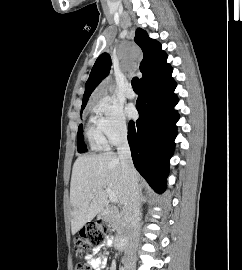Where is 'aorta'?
<instances>
[{"mask_svg": "<svg viewBox=\"0 0 242 270\" xmlns=\"http://www.w3.org/2000/svg\"><path fill=\"white\" fill-rule=\"evenodd\" d=\"M112 91H113V89L111 88V89H110V92H112Z\"/></svg>", "mask_w": 242, "mask_h": 270, "instance_id": "1", "label": "aorta"}]
</instances>
